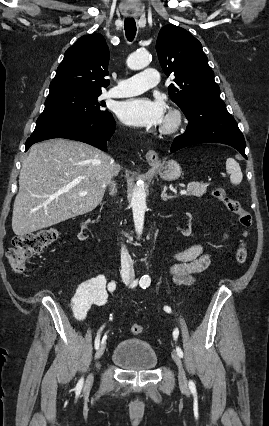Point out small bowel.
I'll return each instance as SVG.
<instances>
[{"label": "small bowel", "instance_id": "small-bowel-1", "mask_svg": "<svg viewBox=\"0 0 269 426\" xmlns=\"http://www.w3.org/2000/svg\"><path fill=\"white\" fill-rule=\"evenodd\" d=\"M209 263L210 256L200 245H193L176 252L171 268L174 281L181 286L193 284L195 275L206 269Z\"/></svg>", "mask_w": 269, "mask_h": 426}]
</instances>
